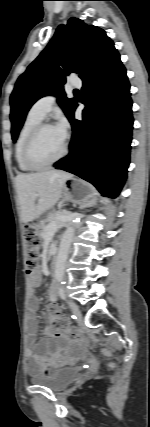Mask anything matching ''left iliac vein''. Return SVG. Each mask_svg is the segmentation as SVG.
Instances as JSON below:
<instances>
[{"mask_svg":"<svg viewBox=\"0 0 150 427\" xmlns=\"http://www.w3.org/2000/svg\"><path fill=\"white\" fill-rule=\"evenodd\" d=\"M68 305L70 306L76 321L81 324L82 323V314L80 312V309L78 307V305L76 303H74L73 301H68Z\"/></svg>","mask_w":150,"mask_h":427,"instance_id":"left-iliac-vein-1","label":"left iliac vein"}]
</instances>
